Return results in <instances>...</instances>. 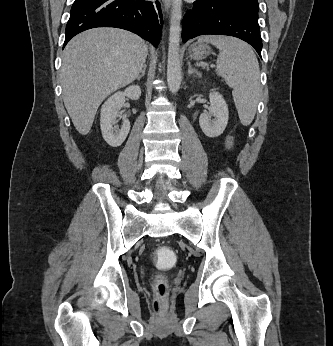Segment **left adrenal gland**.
<instances>
[{
  "instance_id": "obj_1",
  "label": "left adrenal gland",
  "mask_w": 333,
  "mask_h": 346,
  "mask_svg": "<svg viewBox=\"0 0 333 346\" xmlns=\"http://www.w3.org/2000/svg\"><path fill=\"white\" fill-rule=\"evenodd\" d=\"M187 64H188V74L189 75L190 74H196L198 77L201 76L200 72L191 66L190 61H188Z\"/></svg>"
}]
</instances>
